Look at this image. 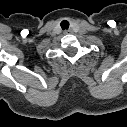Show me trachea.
Here are the masks:
<instances>
[{"mask_svg":"<svg viewBox=\"0 0 127 127\" xmlns=\"http://www.w3.org/2000/svg\"><path fill=\"white\" fill-rule=\"evenodd\" d=\"M60 26H61L62 30H67L69 28V22L67 20H63L60 23Z\"/></svg>","mask_w":127,"mask_h":127,"instance_id":"3493384b","label":"trachea"}]
</instances>
